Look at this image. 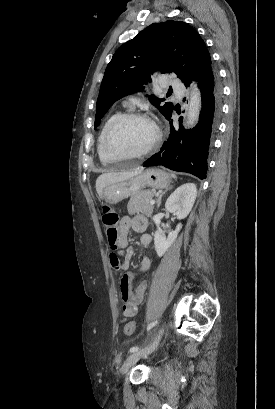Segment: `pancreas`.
<instances>
[{
    "label": "pancreas",
    "mask_w": 275,
    "mask_h": 409,
    "mask_svg": "<svg viewBox=\"0 0 275 409\" xmlns=\"http://www.w3.org/2000/svg\"><path fill=\"white\" fill-rule=\"evenodd\" d=\"M152 196H154L152 190H140L137 194H133L127 205L129 215L144 213L146 217H151L154 209L153 205H150Z\"/></svg>",
    "instance_id": "cf45deb5"
}]
</instances>
